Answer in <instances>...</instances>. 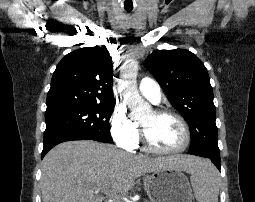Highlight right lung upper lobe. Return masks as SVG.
I'll list each match as a JSON object with an SVG mask.
<instances>
[{
	"label": "right lung upper lobe",
	"mask_w": 255,
	"mask_h": 202,
	"mask_svg": "<svg viewBox=\"0 0 255 202\" xmlns=\"http://www.w3.org/2000/svg\"><path fill=\"white\" fill-rule=\"evenodd\" d=\"M113 65L104 47L75 50L59 62L47 95L46 113L87 105L114 103Z\"/></svg>",
	"instance_id": "right-lung-upper-lobe-1"
}]
</instances>
